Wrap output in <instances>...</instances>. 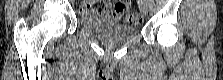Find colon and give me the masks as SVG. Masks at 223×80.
<instances>
[{"label":"colon","instance_id":"colon-1","mask_svg":"<svg viewBox=\"0 0 223 80\" xmlns=\"http://www.w3.org/2000/svg\"><path fill=\"white\" fill-rule=\"evenodd\" d=\"M115 11L121 15L125 23L131 26H136L142 21V16L139 12L129 10V3L127 1L117 2L115 4Z\"/></svg>","mask_w":223,"mask_h":80}]
</instances>
